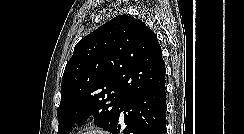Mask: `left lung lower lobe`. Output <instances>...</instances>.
<instances>
[{"label":"left lung lower lobe","mask_w":244,"mask_h":134,"mask_svg":"<svg viewBox=\"0 0 244 134\" xmlns=\"http://www.w3.org/2000/svg\"><path fill=\"white\" fill-rule=\"evenodd\" d=\"M166 87L161 86L134 93L119 107L112 134L121 132L120 114L124 111V134H165L166 133Z\"/></svg>","instance_id":"obj_1"}]
</instances>
